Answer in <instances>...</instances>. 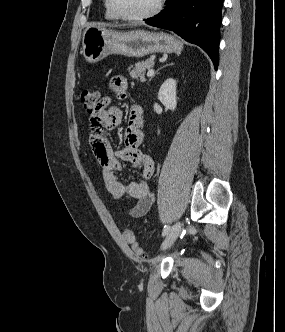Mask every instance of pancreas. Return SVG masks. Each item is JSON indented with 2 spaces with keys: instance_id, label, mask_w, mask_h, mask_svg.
<instances>
[{
  "instance_id": "obj_1",
  "label": "pancreas",
  "mask_w": 285,
  "mask_h": 332,
  "mask_svg": "<svg viewBox=\"0 0 285 332\" xmlns=\"http://www.w3.org/2000/svg\"><path fill=\"white\" fill-rule=\"evenodd\" d=\"M154 65V60L147 59L142 62L136 63L130 67V76L132 78L140 79L141 82L145 81V72Z\"/></svg>"
}]
</instances>
